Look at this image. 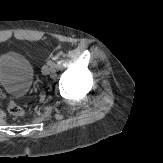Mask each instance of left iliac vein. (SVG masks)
Returning a JSON list of instances; mask_svg holds the SVG:
<instances>
[{"mask_svg":"<svg viewBox=\"0 0 163 163\" xmlns=\"http://www.w3.org/2000/svg\"><path fill=\"white\" fill-rule=\"evenodd\" d=\"M50 71H51V68L48 64H46L42 67V74L43 75H45V76L49 75Z\"/></svg>","mask_w":163,"mask_h":163,"instance_id":"1","label":"left iliac vein"}]
</instances>
